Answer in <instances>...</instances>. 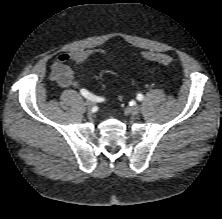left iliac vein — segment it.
I'll use <instances>...</instances> for the list:
<instances>
[{"label": "left iliac vein", "instance_id": "4c4485c4", "mask_svg": "<svg viewBox=\"0 0 222 219\" xmlns=\"http://www.w3.org/2000/svg\"><path fill=\"white\" fill-rule=\"evenodd\" d=\"M140 112V107L138 105H133L130 107V113L137 115Z\"/></svg>", "mask_w": 222, "mask_h": 219}]
</instances>
